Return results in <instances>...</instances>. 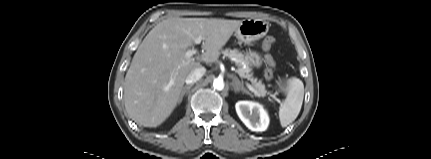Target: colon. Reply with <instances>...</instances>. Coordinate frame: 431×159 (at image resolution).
Here are the masks:
<instances>
[{"label": "colon", "instance_id": "colon-1", "mask_svg": "<svg viewBox=\"0 0 431 159\" xmlns=\"http://www.w3.org/2000/svg\"><path fill=\"white\" fill-rule=\"evenodd\" d=\"M274 43L275 38L272 36H267L263 41V49L265 51H269ZM265 62L267 64V68L264 72L265 78L267 80H272L274 77L275 60L270 54H267L265 56Z\"/></svg>", "mask_w": 431, "mask_h": 159}]
</instances>
